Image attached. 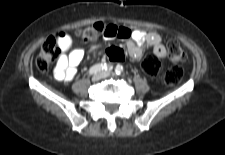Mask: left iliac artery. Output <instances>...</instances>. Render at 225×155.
Returning <instances> with one entry per match:
<instances>
[{"instance_id": "44dca946", "label": "left iliac artery", "mask_w": 225, "mask_h": 155, "mask_svg": "<svg viewBox=\"0 0 225 155\" xmlns=\"http://www.w3.org/2000/svg\"><path fill=\"white\" fill-rule=\"evenodd\" d=\"M122 72H123V66L117 65L116 68H115V73L117 75H120Z\"/></svg>"}]
</instances>
